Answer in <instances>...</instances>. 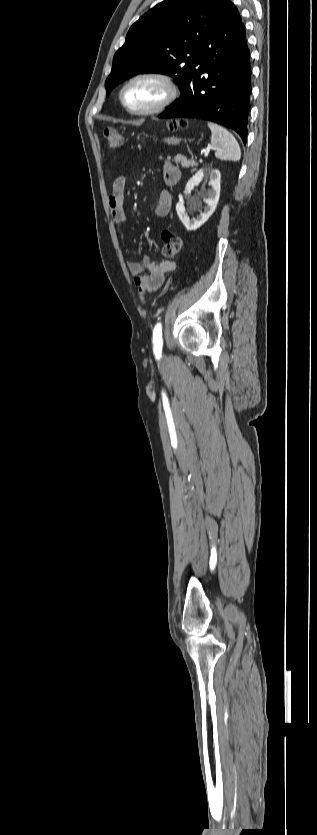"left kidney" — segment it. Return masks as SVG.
<instances>
[{
    "instance_id": "5707ae66",
    "label": "left kidney",
    "mask_w": 317,
    "mask_h": 835,
    "mask_svg": "<svg viewBox=\"0 0 317 835\" xmlns=\"http://www.w3.org/2000/svg\"><path fill=\"white\" fill-rule=\"evenodd\" d=\"M220 178L221 174L218 169L208 167L198 170V172H196V174L187 182L185 187L186 191H191L203 179L209 180L210 186L208 191L203 195V201L206 204L204 211H200V214L197 215L196 218H189L186 213L183 200H180L176 204L177 215L187 230H196L201 227L215 211L220 197ZM194 208L200 209V204L195 205Z\"/></svg>"
}]
</instances>
